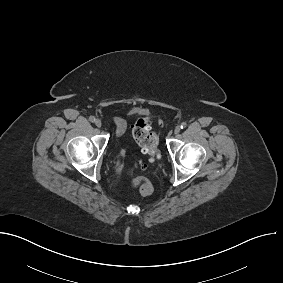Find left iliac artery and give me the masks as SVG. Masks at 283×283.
<instances>
[{"instance_id":"obj_1","label":"left iliac artery","mask_w":283,"mask_h":283,"mask_svg":"<svg viewBox=\"0 0 283 283\" xmlns=\"http://www.w3.org/2000/svg\"><path fill=\"white\" fill-rule=\"evenodd\" d=\"M186 126H187L186 122H182L181 125H180L181 129L186 128Z\"/></svg>"}]
</instances>
